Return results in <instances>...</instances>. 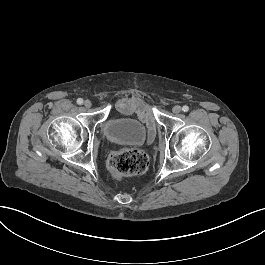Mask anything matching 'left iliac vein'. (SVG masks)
<instances>
[{
	"label": "left iliac vein",
	"instance_id": "obj_1",
	"mask_svg": "<svg viewBox=\"0 0 265 265\" xmlns=\"http://www.w3.org/2000/svg\"><path fill=\"white\" fill-rule=\"evenodd\" d=\"M172 110L174 113H180L182 108L179 105H175Z\"/></svg>",
	"mask_w": 265,
	"mask_h": 265
}]
</instances>
